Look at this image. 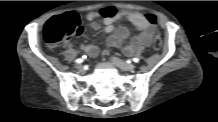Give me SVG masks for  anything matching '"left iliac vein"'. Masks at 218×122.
<instances>
[{"instance_id": "obj_1", "label": "left iliac vein", "mask_w": 218, "mask_h": 122, "mask_svg": "<svg viewBox=\"0 0 218 122\" xmlns=\"http://www.w3.org/2000/svg\"><path fill=\"white\" fill-rule=\"evenodd\" d=\"M111 60L121 70L132 71L133 69H135V65L134 64L126 63L125 61H123V60H121V59H119L117 57H111Z\"/></svg>"}]
</instances>
